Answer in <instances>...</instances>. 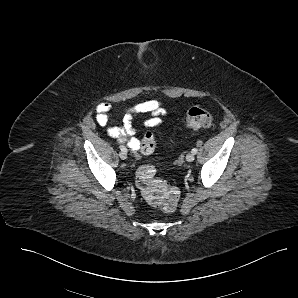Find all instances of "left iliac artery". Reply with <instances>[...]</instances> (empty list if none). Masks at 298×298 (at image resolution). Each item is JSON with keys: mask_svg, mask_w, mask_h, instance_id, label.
<instances>
[{"mask_svg": "<svg viewBox=\"0 0 298 298\" xmlns=\"http://www.w3.org/2000/svg\"><path fill=\"white\" fill-rule=\"evenodd\" d=\"M197 151H198L197 148H193V149H192V153H193V154H196Z\"/></svg>", "mask_w": 298, "mask_h": 298, "instance_id": "left-iliac-artery-1", "label": "left iliac artery"}]
</instances>
